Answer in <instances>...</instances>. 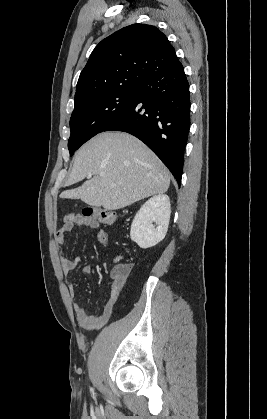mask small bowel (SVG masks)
<instances>
[{
  "instance_id": "small-bowel-1",
  "label": "small bowel",
  "mask_w": 267,
  "mask_h": 419,
  "mask_svg": "<svg viewBox=\"0 0 267 419\" xmlns=\"http://www.w3.org/2000/svg\"><path fill=\"white\" fill-rule=\"evenodd\" d=\"M99 224L89 218L84 217L81 214L77 213H70L67 214L63 219L62 227L56 232L55 238L56 241L62 245L65 242L66 235L73 231L76 227H87L91 229H97ZM97 240L99 244L103 248H107L109 244V236L108 233L104 230H99L97 233ZM80 258L79 257H63L62 258V272L66 276L74 269L77 268L79 265ZM92 272L91 266L87 265L82 268V273L85 275H89ZM111 277V289L109 298L103 306L102 312L99 315H94L89 313L81 304L78 302L73 303V308L76 313V318L78 323L87 329H98L105 325L108 320L110 319L115 303L118 299L119 294L121 293L127 277L128 273L119 275L116 274L114 271L110 273ZM69 291L72 296H75L77 291V285L72 283L69 286Z\"/></svg>"
}]
</instances>
